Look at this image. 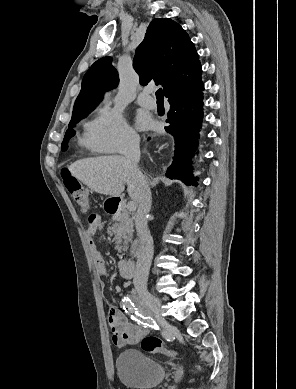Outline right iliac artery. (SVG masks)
Returning <instances> with one entry per match:
<instances>
[{
  "label": "right iliac artery",
  "instance_id": "1",
  "mask_svg": "<svg viewBox=\"0 0 296 389\" xmlns=\"http://www.w3.org/2000/svg\"><path fill=\"white\" fill-rule=\"evenodd\" d=\"M138 303L135 304L130 297H124L122 300V305L126 313H133L134 308H145L141 301H137Z\"/></svg>",
  "mask_w": 296,
  "mask_h": 389
}]
</instances>
